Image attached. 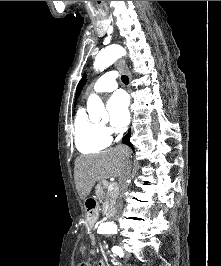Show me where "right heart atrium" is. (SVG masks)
<instances>
[{
    "instance_id": "d8ad5b80",
    "label": "right heart atrium",
    "mask_w": 221,
    "mask_h": 266,
    "mask_svg": "<svg viewBox=\"0 0 221 266\" xmlns=\"http://www.w3.org/2000/svg\"><path fill=\"white\" fill-rule=\"evenodd\" d=\"M103 129H104L105 134H106L107 136H109V134H110V132H111L110 129L107 128V127H104Z\"/></svg>"
}]
</instances>
